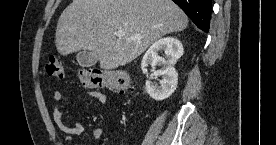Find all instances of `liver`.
<instances>
[{"label": "liver", "instance_id": "obj_1", "mask_svg": "<svg viewBox=\"0 0 276 145\" xmlns=\"http://www.w3.org/2000/svg\"><path fill=\"white\" fill-rule=\"evenodd\" d=\"M187 26V16L172 0H73L59 17L55 42L61 55L91 51L98 55L100 68L111 70ZM119 30L123 37L116 36Z\"/></svg>", "mask_w": 276, "mask_h": 145}]
</instances>
